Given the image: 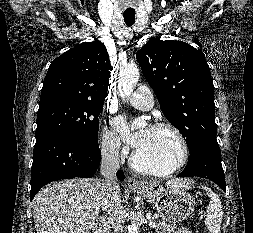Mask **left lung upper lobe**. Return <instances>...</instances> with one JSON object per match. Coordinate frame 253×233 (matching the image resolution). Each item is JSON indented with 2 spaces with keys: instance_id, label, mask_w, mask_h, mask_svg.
I'll list each match as a JSON object with an SVG mask.
<instances>
[{
  "instance_id": "obj_1",
  "label": "left lung upper lobe",
  "mask_w": 253,
  "mask_h": 233,
  "mask_svg": "<svg viewBox=\"0 0 253 233\" xmlns=\"http://www.w3.org/2000/svg\"><path fill=\"white\" fill-rule=\"evenodd\" d=\"M168 121L185 138L189 151L198 144H218L214 85L206 59L189 44L149 40L136 54Z\"/></svg>"
}]
</instances>
